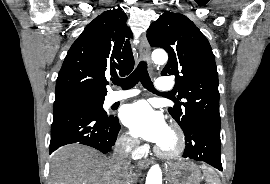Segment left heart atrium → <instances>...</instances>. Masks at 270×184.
<instances>
[{"mask_svg": "<svg viewBox=\"0 0 270 184\" xmlns=\"http://www.w3.org/2000/svg\"><path fill=\"white\" fill-rule=\"evenodd\" d=\"M122 120L133 136L158 145L169 132L163 115L145 100L128 105L123 111Z\"/></svg>", "mask_w": 270, "mask_h": 184, "instance_id": "obj_1", "label": "left heart atrium"}]
</instances>
